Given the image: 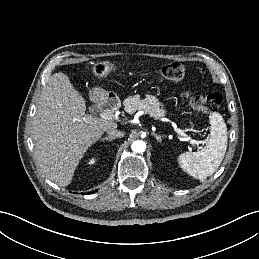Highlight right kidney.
I'll use <instances>...</instances> for the list:
<instances>
[{"label":"right kidney","instance_id":"ca27d5eb","mask_svg":"<svg viewBox=\"0 0 259 259\" xmlns=\"http://www.w3.org/2000/svg\"><path fill=\"white\" fill-rule=\"evenodd\" d=\"M95 161H96V159H95V158H92V159H90V160L88 161V164L92 165V164L95 163Z\"/></svg>","mask_w":259,"mask_h":259}]
</instances>
